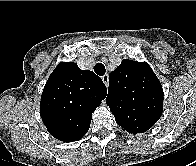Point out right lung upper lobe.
I'll list each match as a JSON object with an SVG mask.
<instances>
[{"label":"right lung upper lobe","instance_id":"right-lung-upper-lobe-1","mask_svg":"<svg viewBox=\"0 0 196 166\" xmlns=\"http://www.w3.org/2000/svg\"><path fill=\"white\" fill-rule=\"evenodd\" d=\"M106 95L107 88L100 77L81 70L74 62H62L45 84L40 115L53 137L76 141L88 132L92 113Z\"/></svg>","mask_w":196,"mask_h":166}]
</instances>
